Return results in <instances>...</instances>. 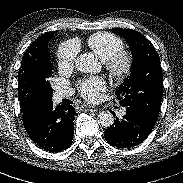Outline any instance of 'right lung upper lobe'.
I'll return each instance as SVG.
<instances>
[{"label": "right lung upper lobe", "instance_id": "1", "mask_svg": "<svg viewBox=\"0 0 183 183\" xmlns=\"http://www.w3.org/2000/svg\"><path fill=\"white\" fill-rule=\"evenodd\" d=\"M55 34V32H47L40 37H38L37 40H35L29 48L26 50L23 58L21 67L19 70V77L27 71V69L31 68L36 62V60L39 58V56L42 54V52L45 50L46 47H48V42L52 38V36Z\"/></svg>", "mask_w": 183, "mask_h": 183}]
</instances>
